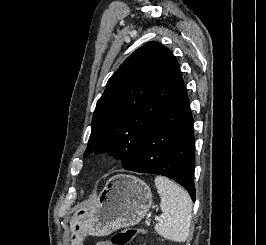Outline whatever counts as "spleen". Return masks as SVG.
Wrapping results in <instances>:
<instances>
[{"label": "spleen", "instance_id": "spleen-1", "mask_svg": "<svg viewBox=\"0 0 266 245\" xmlns=\"http://www.w3.org/2000/svg\"><path fill=\"white\" fill-rule=\"evenodd\" d=\"M155 185L163 213V219L154 227L155 231L168 241L185 243L189 237L192 219V201L187 191L166 177H156Z\"/></svg>", "mask_w": 266, "mask_h": 245}]
</instances>
